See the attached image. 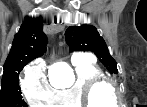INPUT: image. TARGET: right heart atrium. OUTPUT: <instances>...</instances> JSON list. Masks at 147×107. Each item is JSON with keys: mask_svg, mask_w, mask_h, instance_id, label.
I'll return each mask as SVG.
<instances>
[{"mask_svg": "<svg viewBox=\"0 0 147 107\" xmlns=\"http://www.w3.org/2000/svg\"><path fill=\"white\" fill-rule=\"evenodd\" d=\"M21 90L31 106H45L51 103L55 90L48 81L42 63L33 62L26 69L21 80Z\"/></svg>", "mask_w": 147, "mask_h": 107, "instance_id": "obj_1", "label": "right heart atrium"}]
</instances>
